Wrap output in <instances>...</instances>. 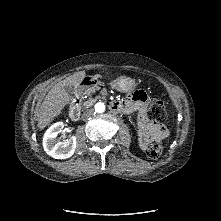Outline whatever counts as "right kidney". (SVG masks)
Returning <instances> with one entry per match:
<instances>
[{"instance_id":"1","label":"right kidney","mask_w":221,"mask_h":221,"mask_svg":"<svg viewBox=\"0 0 221 221\" xmlns=\"http://www.w3.org/2000/svg\"><path fill=\"white\" fill-rule=\"evenodd\" d=\"M64 127L63 122L53 124L44 134L43 147L45 152L55 159L71 157L76 149V137L72 136L64 142H58L57 136Z\"/></svg>"}]
</instances>
